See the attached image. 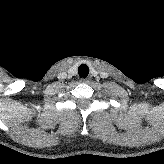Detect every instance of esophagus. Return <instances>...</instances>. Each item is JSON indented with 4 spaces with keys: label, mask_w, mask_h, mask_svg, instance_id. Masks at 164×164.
<instances>
[{
    "label": "esophagus",
    "mask_w": 164,
    "mask_h": 164,
    "mask_svg": "<svg viewBox=\"0 0 164 164\" xmlns=\"http://www.w3.org/2000/svg\"><path fill=\"white\" fill-rule=\"evenodd\" d=\"M80 82L81 83H89V79H87V78H81Z\"/></svg>",
    "instance_id": "34e87169"
}]
</instances>
